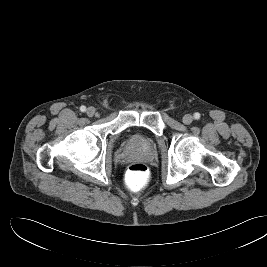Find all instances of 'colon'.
Segmentation results:
<instances>
[{
	"instance_id": "obj_1",
	"label": "colon",
	"mask_w": 267,
	"mask_h": 267,
	"mask_svg": "<svg viewBox=\"0 0 267 267\" xmlns=\"http://www.w3.org/2000/svg\"><path fill=\"white\" fill-rule=\"evenodd\" d=\"M125 182L132 191H140L145 188L149 182V169L140 162L133 163L129 166Z\"/></svg>"
}]
</instances>
